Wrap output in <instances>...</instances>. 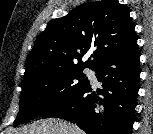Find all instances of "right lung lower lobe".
Returning a JSON list of instances; mask_svg holds the SVG:
<instances>
[{"instance_id": "obj_1", "label": "right lung lower lobe", "mask_w": 153, "mask_h": 134, "mask_svg": "<svg viewBox=\"0 0 153 134\" xmlns=\"http://www.w3.org/2000/svg\"><path fill=\"white\" fill-rule=\"evenodd\" d=\"M102 83L92 92L90 82L72 97L42 115L77 124L87 134H131L140 80L137 43L113 54L93 69Z\"/></svg>"}]
</instances>
